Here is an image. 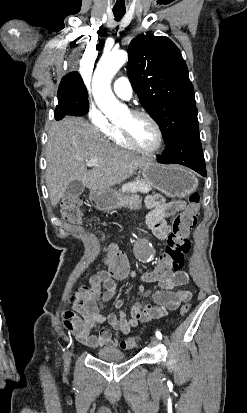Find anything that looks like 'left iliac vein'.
<instances>
[{
    "mask_svg": "<svg viewBox=\"0 0 247 413\" xmlns=\"http://www.w3.org/2000/svg\"><path fill=\"white\" fill-rule=\"evenodd\" d=\"M150 343H151L152 345H158V344H159V341H158L157 337L152 336V337L150 338Z\"/></svg>",
    "mask_w": 247,
    "mask_h": 413,
    "instance_id": "obj_1",
    "label": "left iliac vein"
}]
</instances>
